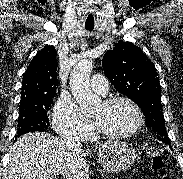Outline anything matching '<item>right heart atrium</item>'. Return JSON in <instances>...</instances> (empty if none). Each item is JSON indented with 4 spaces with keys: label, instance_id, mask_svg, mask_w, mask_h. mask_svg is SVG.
<instances>
[{
    "label": "right heart atrium",
    "instance_id": "d8ad5b80",
    "mask_svg": "<svg viewBox=\"0 0 183 179\" xmlns=\"http://www.w3.org/2000/svg\"><path fill=\"white\" fill-rule=\"evenodd\" d=\"M52 122L54 130L62 137H84L92 130L89 119L69 97H61L57 100L53 109Z\"/></svg>",
    "mask_w": 183,
    "mask_h": 179
}]
</instances>
